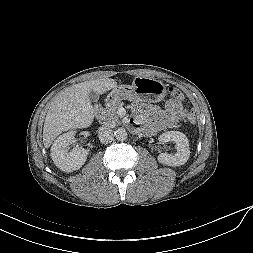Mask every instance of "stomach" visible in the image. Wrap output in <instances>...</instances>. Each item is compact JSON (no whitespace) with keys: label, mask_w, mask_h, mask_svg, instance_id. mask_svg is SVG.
Segmentation results:
<instances>
[{"label":"stomach","mask_w":253,"mask_h":253,"mask_svg":"<svg viewBox=\"0 0 253 253\" xmlns=\"http://www.w3.org/2000/svg\"><path fill=\"white\" fill-rule=\"evenodd\" d=\"M166 86L149 77H136L132 85L115 86L106 101L115 104L121 100L159 102L166 96Z\"/></svg>","instance_id":"0dacf381"}]
</instances>
